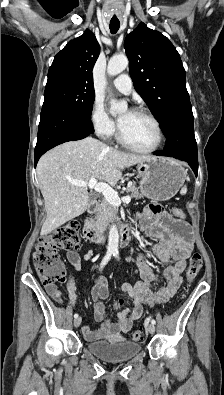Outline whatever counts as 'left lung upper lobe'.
<instances>
[{
  "mask_svg": "<svg viewBox=\"0 0 224 395\" xmlns=\"http://www.w3.org/2000/svg\"><path fill=\"white\" fill-rule=\"evenodd\" d=\"M124 47L134 87L166 133L175 117L192 110L180 55L167 37L142 22Z\"/></svg>",
  "mask_w": 224,
  "mask_h": 395,
  "instance_id": "left-lung-upper-lobe-1",
  "label": "left lung upper lobe"
}]
</instances>
